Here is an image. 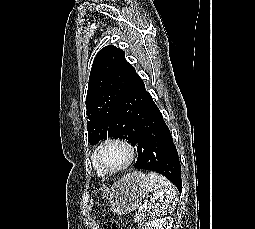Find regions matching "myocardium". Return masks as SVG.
<instances>
[{
  "mask_svg": "<svg viewBox=\"0 0 255 229\" xmlns=\"http://www.w3.org/2000/svg\"><path fill=\"white\" fill-rule=\"evenodd\" d=\"M119 145L121 147H123L126 152H127V159L125 160V162L117 167H108L103 165L101 159H100V153L103 150L104 147L108 146V145ZM135 158V149L133 147V145L126 139L122 138V137H117V136H112V137H107L106 139L102 140L94 149L93 151V155H92V161L94 166H98L100 168H102V170L106 173V174H113V173H118L121 172L125 169H127L132 162L134 161Z\"/></svg>",
  "mask_w": 255,
  "mask_h": 229,
  "instance_id": "obj_1",
  "label": "myocardium"
}]
</instances>
